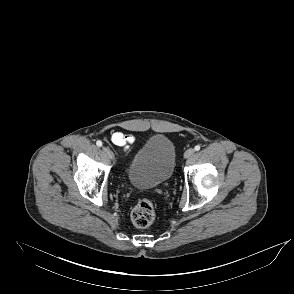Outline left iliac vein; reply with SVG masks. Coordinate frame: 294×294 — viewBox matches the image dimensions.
<instances>
[{"label":"left iliac vein","mask_w":294,"mask_h":294,"mask_svg":"<svg viewBox=\"0 0 294 294\" xmlns=\"http://www.w3.org/2000/svg\"><path fill=\"white\" fill-rule=\"evenodd\" d=\"M194 153H195V150L193 148H189L185 151L184 158L187 159V158L193 156Z\"/></svg>","instance_id":"1"}]
</instances>
